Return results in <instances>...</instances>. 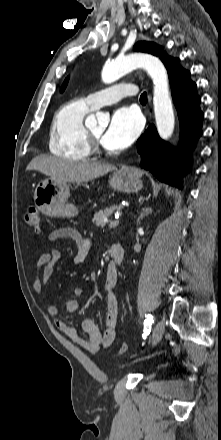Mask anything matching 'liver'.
I'll return each instance as SVG.
<instances>
[{"mask_svg":"<svg viewBox=\"0 0 221 440\" xmlns=\"http://www.w3.org/2000/svg\"><path fill=\"white\" fill-rule=\"evenodd\" d=\"M115 169L114 165L97 162H76L63 158L41 155L28 164L27 170H36L54 180L85 183Z\"/></svg>","mask_w":221,"mask_h":440,"instance_id":"liver-1","label":"liver"}]
</instances>
